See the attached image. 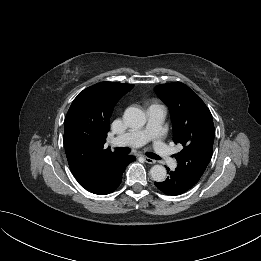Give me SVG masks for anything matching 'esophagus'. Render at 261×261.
I'll list each match as a JSON object with an SVG mask.
<instances>
[{"label":"esophagus","instance_id":"esophagus-1","mask_svg":"<svg viewBox=\"0 0 261 261\" xmlns=\"http://www.w3.org/2000/svg\"><path fill=\"white\" fill-rule=\"evenodd\" d=\"M143 158H144L146 163H149V164H154L155 163V160H153V159H151L149 157H143Z\"/></svg>","mask_w":261,"mask_h":261}]
</instances>
